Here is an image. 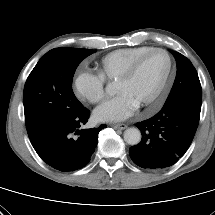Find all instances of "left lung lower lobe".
<instances>
[{
	"label": "left lung lower lobe",
	"instance_id": "obj_1",
	"mask_svg": "<svg viewBox=\"0 0 215 215\" xmlns=\"http://www.w3.org/2000/svg\"><path fill=\"white\" fill-rule=\"evenodd\" d=\"M200 112L173 102L156 115L136 123L142 134L139 144L129 149L135 164L162 169L175 164L189 148L198 127Z\"/></svg>",
	"mask_w": 215,
	"mask_h": 215
}]
</instances>
